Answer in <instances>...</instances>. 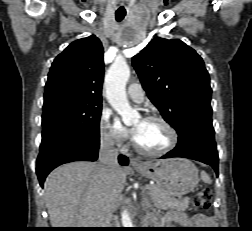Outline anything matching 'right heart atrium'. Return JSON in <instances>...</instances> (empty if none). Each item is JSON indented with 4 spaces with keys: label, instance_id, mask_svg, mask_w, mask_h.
I'll use <instances>...</instances> for the list:
<instances>
[{
    "label": "right heart atrium",
    "instance_id": "right-heart-atrium-1",
    "mask_svg": "<svg viewBox=\"0 0 252 231\" xmlns=\"http://www.w3.org/2000/svg\"><path fill=\"white\" fill-rule=\"evenodd\" d=\"M99 133L101 139L112 146L124 149L127 144V134L116 125L111 118V114L103 111L99 119Z\"/></svg>",
    "mask_w": 252,
    "mask_h": 231
}]
</instances>
